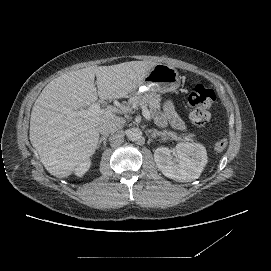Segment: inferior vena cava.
<instances>
[{
    "label": "inferior vena cava",
    "instance_id": "obj_1",
    "mask_svg": "<svg viewBox=\"0 0 271 271\" xmlns=\"http://www.w3.org/2000/svg\"><path fill=\"white\" fill-rule=\"evenodd\" d=\"M121 126V121H109L99 125V132L102 135H108L118 130Z\"/></svg>",
    "mask_w": 271,
    "mask_h": 271
}]
</instances>
